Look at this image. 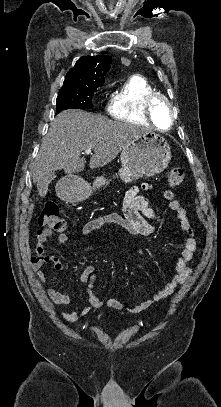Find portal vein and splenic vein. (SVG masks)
I'll return each mask as SVG.
<instances>
[{"mask_svg": "<svg viewBox=\"0 0 221 407\" xmlns=\"http://www.w3.org/2000/svg\"><path fill=\"white\" fill-rule=\"evenodd\" d=\"M91 152H92L91 149H86L83 154L88 155V154H91Z\"/></svg>", "mask_w": 221, "mask_h": 407, "instance_id": "1", "label": "portal vein and splenic vein"}]
</instances>
